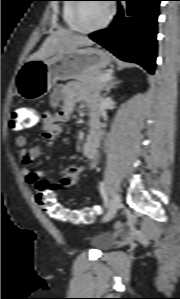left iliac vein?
Returning a JSON list of instances; mask_svg holds the SVG:
<instances>
[{
    "mask_svg": "<svg viewBox=\"0 0 180 299\" xmlns=\"http://www.w3.org/2000/svg\"><path fill=\"white\" fill-rule=\"evenodd\" d=\"M120 205H121V197L118 193H114L110 201L108 210L105 216L103 217V221L106 222L111 220L115 216L118 209L120 208Z\"/></svg>",
    "mask_w": 180,
    "mask_h": 299,
    "instance_id": "4c4485c4",
    "label": "left iliac vein"
}]
</instances>
